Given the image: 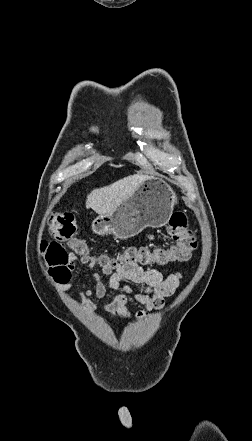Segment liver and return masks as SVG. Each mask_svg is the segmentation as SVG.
I'll list each match as a JSON object with an SVG mask.
<instances>
[{"instance_id": "obj_1", "label": "liver", "mask_w": 252, "mask_h": 441, "mask_svg": "<svg viewBox=\"0 0 252 441\" xmlns=\"http://www.w3.org/2000/svg\"><path fill=\"white\" fill-rule=\"evenodd\" d=\"M148 175L135 174L120 179L109 186L94 189L86 199V208H91L97 214L112 213L124 200L129 198L146 180Z\"/></svg>"}]
</instances>
